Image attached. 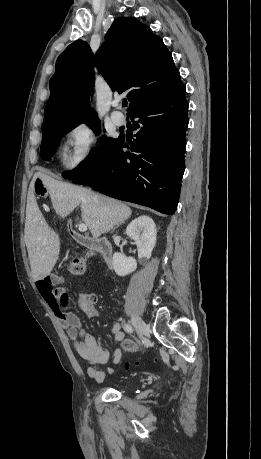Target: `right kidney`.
Instances as JSON below:
<instances>
[{
    "mask_svg": "<svg viewBox=\"0 0 261 459\" xmlns=\"http://www.w3.org/2000/svg\"><path fill=\"white\" fill-rule=\"evenodd\" d=\"M126 234L132 238L138 249V259L145 264L151 257L156 244V225L152 218L142 215L134 219L126 228ZM113 268L118 276H126L137 268V261L132 257L115 252L112 258Z\"/></svg>",
    "mask_w": 261,
    "mask_h": 459,
    "instance_id": "obj_1",
    "label": "right kidney"
}]
</instances>
